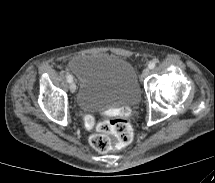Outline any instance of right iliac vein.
<instances>
[{
    "label": "right iliac vein",
    "instance_id": "1",
    "mask_svg": "<svg viewBox=\"0 0 215 183\" xmlns=\"http://www.w3.org/2000/svg\"><path fill=\"white\" fill-rule=\"evenodd\" d=\"M69 88L70 91L74 93L76 91V84L74 82H70Z\"/></svg>",
    "mask_w": 215,
    "mask_h": 183
}]
</instances>
